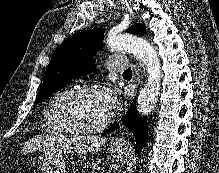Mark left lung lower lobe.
Listing matches in <instances>:
<instances>
[{
	"label": "left lung lower lobe",
	"instance_id": "0a47b994",
	"mask_svg": "<svg viewBox=\"0 0 219 173\" xmlns=\"http://www.w3.org/2000/svg\"><path fill=\"white\" fill-rule=\"evenodd\" d=\"M123 125L128 127L135 134V151L140 153L148 140V124L146 120L140 117V115L137 113V109L134 105L129 108L126 116L124 117ZM118 126V124H113L106 132L110 133L114 129H117Z\"/></svg>",
	"mask_w": 219,
	"mask_h": 173
}]
</instances>
